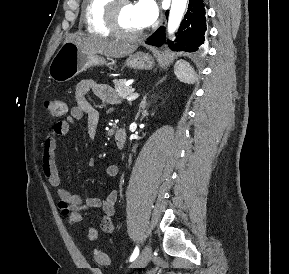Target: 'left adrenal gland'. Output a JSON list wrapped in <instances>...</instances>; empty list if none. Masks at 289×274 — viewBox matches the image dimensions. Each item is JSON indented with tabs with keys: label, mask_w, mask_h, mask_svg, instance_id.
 <instances>
[{
	"label": "left adrenal gland",
	"mask_w": 289,
	"mask_h": 274,
	"mask_svg": "<svg viewBox=\"0 0 289 274\" xmlns=\"http://www.w3.org/2000/svg\"><path fill=\"white\" fill-rule=\"evenodd\" d=\"M146 96L143 98L141 104H140V108L145 109L146 108Z\"/></svg>",
	"instance_id": "a2214340"
}]
</instances>
